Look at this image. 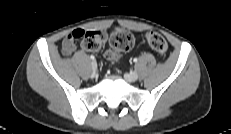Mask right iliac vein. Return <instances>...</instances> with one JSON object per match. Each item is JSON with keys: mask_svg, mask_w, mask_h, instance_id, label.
Returning a JSON list of instances; mask_svg holds the SVG:
<instances>
[{"mask_svg": "<svg viewBox=\"0 0 231 134\" xmlns=\"http://www.w3.org/2000/svg\"><path fill=\"white\" fill-rule=\"evenodd\" d=\"M91 68H92L93 72H95L97 70V63H96V61L93 60L91 62Z\"/></svg>", "mask_w": 231, "mask_h": 134, "instance_id": "obj_1", "label": "right iliac vein"}]
</instances>
